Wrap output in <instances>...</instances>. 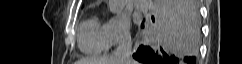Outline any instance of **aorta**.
<instances>
[{"mask_svg": "<svg viewBox=\"0 0 242 64\" xmlns=\"http://www.w3.org/2000/svg\"><path fill=\"white\" fill-rule=\"evenodd\" d=\"M127 0H109V9L113 14L119 15L122 13Z\"/></svg>", "mask_w": 242, "mask_h": 64, "instance_id": "obj_1", "label": "aorta"}]
</instances>
